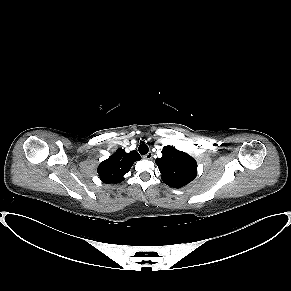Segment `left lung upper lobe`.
I'll use <instances>...</instances> for the list:
<instances>
[{"label": "left lung upper lobe", "instance_id": "obj_1", "mask_svg": "<svg viewBox=\"0 0 291 291\" xmlns=\"http://www.w3.org/2000/svg\"><path fill=\"white\" fill-rule=\"evenodd\" d=\"M155 162L162 174L163 182L174 188L187 185L197 175L195 159L170 145L163 147L162 157Z\"/></svg>", "mask_w": 291, "mask_h": 291}]
</instances>
